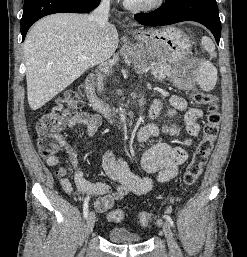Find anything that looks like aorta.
<instances>
[{
  "label": "aorta",
  "instance_id": "aorta-1",
  "mask_svg": "<svg viewBox=\"0 0 247 257\" xmlns=\"http://www.w3.org/2000/svg\"><path fill=\"white\" fill-rule=\"evenodd\" d=\"M119 116H120L121 121L125 120L124 109L120 108V115Z\"/></svg>",
  "mask_w": 247,
  "mask_h": 257
}]
</instances>
